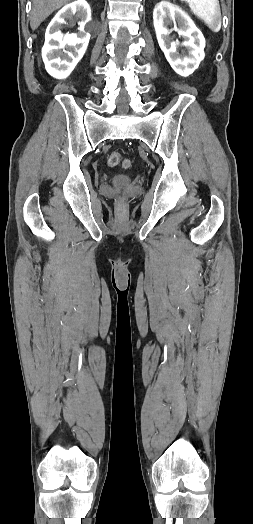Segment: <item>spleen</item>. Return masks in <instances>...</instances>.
I'll list each match as a JSON object with an SVG mask.
<instances>
[{"mask_svg":"<svg viewBox=\"0 0 253 524\" xmlns=\"http://www.w3.org/2000/svg\"><path fill=\"white\" fill-rule=\"evenodd\" d=\"M188 1L191 11L213 32L221 29V10L218 0H182Z\"/></svg>","mask_w":253,"mask_h":524,"instance_id":"3e777b00","label":"spleen"}]
</instances>
